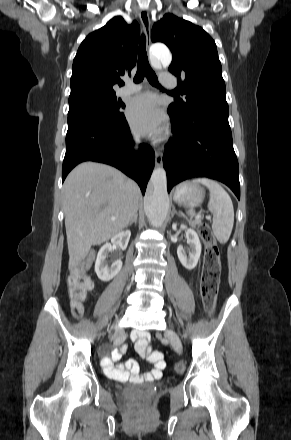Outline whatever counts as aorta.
I'll use <instances>...</instances> for the list:
<instances>
[{"label": "aorta", "mask_w": 291, "mask_h": 440, "mask_svg": "<svg viewBox=\"0 0 291 440\" xmlns=\"http://www.w3.org/2000/svg\"><path fill=\"white\" fill-rule=\"evenodd\" d=\"M153 57L159 60L163 67H168L172 61L169 49L163 44H154L150 48ZM144 210L154 227H161L166 219L169 210V198L167 193V177L163 168L153 171L148 185Z\"/></svg>", "instance_id": "1"}]
</instances>
